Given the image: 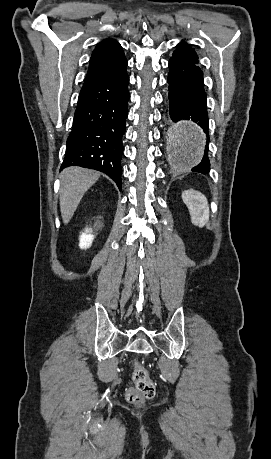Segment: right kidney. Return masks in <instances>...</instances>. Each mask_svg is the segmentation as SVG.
<instances>
[{"label":"right kidney","mask_w":271,"mask_h":459,"mask_svg":"<svg viewBox=\"0 0 271 459\" xmlns=\"http://www.w3.org/2000/svg\"><path fill=\"white\" fill-rule=\"evenodd\" d=\"M101 228H103V224L102 222H100V220H96V222H94L93 228H86L85 231H83V233H81L80 235V241H79L80 247H82V249H85V247H90L94 239L93 229H101Z\"/></svg>","instance_id":"right-kidney-1"}]
</instances>
